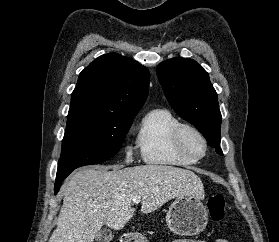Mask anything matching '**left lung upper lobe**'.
<instances>
[{"instance_id":"left-lung-upper-lobe-1","label":"left lung upper lobe","mask_w":279,"mask_h":242,"mask_svg":"<svg viewBox=\"0 0 279 242\" xmlns=\"http://www.w3.org/2000/svg\"><path fill=\"white\" fill-rule=\"evenodd\" d=\"M157 75L174 111L193 124L209 145L223 155L221 113L208 73L195 60L178 57L160 63Z\"/></svg>"}]
</instances>
